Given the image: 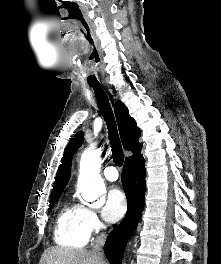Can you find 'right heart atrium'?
Returning <instances> with one entry per match:
<instances>
[{
  "label": "right heart atrium",
  "instance_id": "d8ad5b80",
  "mask_svg": "<svg viewBox=\"0 0 221 264\" xmlns=\"http://www.w3.org/2000/svg\"><path fill=\"white\" fill-rule=\"evenodd\" d=\"M85 221L90 234L98 231L101 228V223L93 210L86 209Z\"/></svg>",
  "mask_w": 221,
  "mask_h": 264
}]
</instances>
